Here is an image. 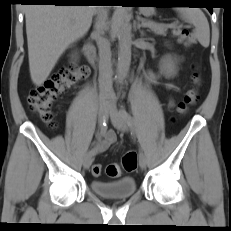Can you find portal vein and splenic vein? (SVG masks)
Returning a JSON list of instances; mask_svg holds the SVG:
<instances>
[{
  "label": "portal vein and splenic vein",
  "mask_w": 231,
  "mask_h": 231,
  "mask_svg": "<svg viewBox=\"0 0 231 231\" xmlns=\"http://www.w3.org/2000/svg\"><path fill=\"white\" fill-rule=\"evenodd\" d=\"M142 25H143V26H147L148 23H147V22H143Z\"/></svg>",
  "instance_id": "18ae733b"
}]
</instances>
